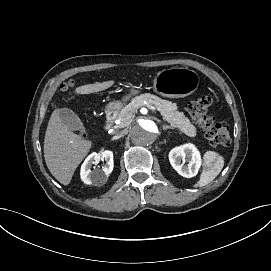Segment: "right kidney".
<instances>
[{
	"label": "right kidney",
	"instance_id": "right-kidney-1",
	"mask_svg": "<svg viewBox=\"0 0 271 271\" xmlns=\"http://www.w3.org/2000/svg\"><path fill=\"white\" fill-rule=\"evenodd\" d=\"M101 157L106 161V164L102 169L91 170L92 165L100 158V155L95 152L90 154L82 164L80 176L81 180L85 184L100 187L107 182L109 174L112 172L114 167L113 152L106 150L102 152Z\"/></svg>",
	"mask_w": 271,
	"mask_h": 271
}]
</instances>
